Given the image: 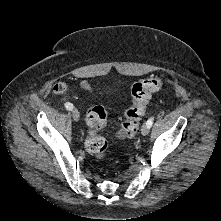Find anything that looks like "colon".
<instances>
[{
	"label": "colon",
	"mask_w": 221,
	"mask_h": 221,
	"mask_svg": "<svg viewBox=\"0 0 221 221\" xmlns=\"http://www.w3.org/2000/svg\"><path fill=\"white\" fill-rule=\"evenodd\" d=\"M162 82L158 77H149L135 83L131 89L132 104L125 110L117 136L121 140L133 138L139 127L151 94L158 91ZM60 89V88H58ZM107 124V113L102 106L91 107L86 114L88 136L85 142L86 149L96 158L106 154L107 142L97 132Z\"/></svg>",
	"instance_id": "1"
}]
</instances>
